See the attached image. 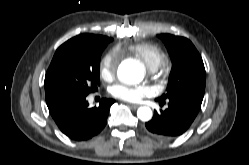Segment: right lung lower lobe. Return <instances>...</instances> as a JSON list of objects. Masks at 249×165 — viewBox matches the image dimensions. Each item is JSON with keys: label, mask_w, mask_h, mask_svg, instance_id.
I'll list each match as a JSON object with an SVG mask.
<instances>
[{"label": "right lung lower lobe", "mask_w": 249, "mask_h": 165, "mask_svg": "<svg viewBox=\"0 0 249 165\" xmlns=\"http://www.w3.org/2000/svg\"><path fill=\"white\" fill-rule=\"evenodd\" d=\"M86 94L46 92V103L59 129L69 138L84 141L97 135L106 125L113 99H102L98 107L90 108Z\"/></svg>", "instance_id": "98d812e1"}]
</instances>
